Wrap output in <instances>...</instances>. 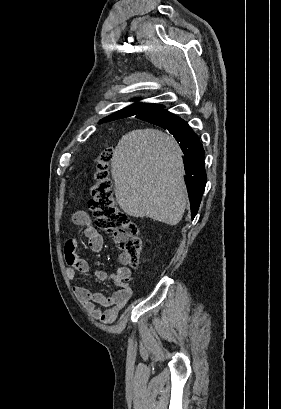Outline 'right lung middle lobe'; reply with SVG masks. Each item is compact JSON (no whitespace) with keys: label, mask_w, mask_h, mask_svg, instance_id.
<instances>
[{"label":"right lung middle lobe","mask_w":281,"mask_h":409,"mask_svg":"<svg viewBox=\"0 0 281 409\" xmlns=\"http://www.w3.org/2000/svg\"><path fill=\"white\" fill-rule=\"evenodd\" d=\"M180 118L174 116H161L149 119L148 122L158 125L162 128H166L167 126L179 121Z\"/></svg>","instance_id":"right-lung-middle-lobe-1"}]
</instances>
